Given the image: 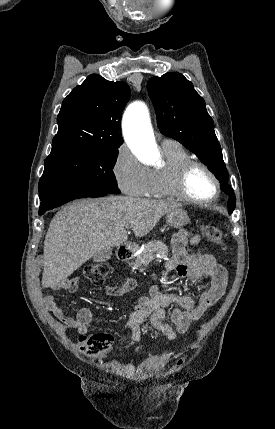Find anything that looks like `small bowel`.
<instances>
[{"mask_svg":"<svg viewBox=\"0 0 275 429\" xmlns=\"http://www.w3.org/2000/svg\"><path fill=\"white\" fill-rule=\"evenodd\" d=\"M200 237L188 231H179L173 237V256L164 264L166 271H175L179 278H185L190 282L207 279L208 284L203 292L197 296H180L161 292L157 286L151 288L150 294L142 296L134 309L130 312L124 327L130 333L129 346H134L140 339L141 325L148 322L150 327L173 340L179 334H184L190 325L198 321L206 310L214 305L225 293L228 273L220 265L216 258L198 249L190 252L187 245H198ZM79 279L77 277L67 279L58 286L75 292L78 289ZM135 286L132 278H126L121 283L106 287L108 295L116 296L131 290ZM45 308L58 320L65 323L69 328L77 330L84 335L91 329L93 313L83 307L75 316L67 315L60 308L54 297L47 293L42 298ZM175 306L169 314V319L174 325L172 327L167 320L166 309Z\"/></svg>","mask_w":275,"mask_h":429,"instance_id":"obj_1","label":"small bowel"}]
</instances>
